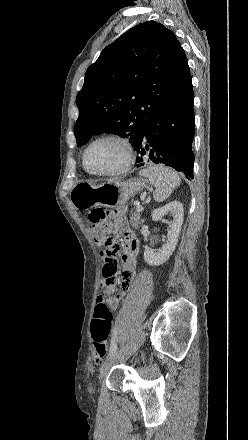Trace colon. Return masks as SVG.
Segmentation results:
<instances>
[{
  "mask_svg": "<svg viewBox=\"0 0 248 440\" xmlns=\"http://www.w3.org/2000/svg\"><path fill=\"white\" fill-rule=\"evenodd\" d=\"M86 218L91 224V234L96 244L103 246L101 252L104 257H119L122 244L111 235L110 227L105 222L106 211L95 208L86 212ZM113 315L108 306L96 302L94 318L91 324V333L95 342L96 360L100 361L107 352L106 341L111 332Z\"/></svg>",
  "mask_w": 248,
  "mask_h": 440,
  "instance_id": "5ec220e1",
  "label": "colon"
}]
</instances>
